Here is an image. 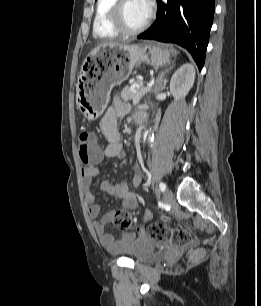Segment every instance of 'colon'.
Segmentation results:
<instances>
[{
    "instance_id": "obj_1",
    "label": "colon",
    "mask_w": 261,
    "mask_h": 306,
    "mask_svg": "<svg viewBox=\"0 0 261 306\" xmlns=\"http://www.w3.org/2000/svg\"><path fill=\"white\" fill-rule=\"evenodd\" d=\"M79 157L83 165L100 160L102 148L94 139L90 131H82L78 136ZM111 222L119 230H130L135 224L131 214L126 210L112 212ZM143 233L157 242L169 243L173 247L182 248L192 244L193 237L190 231L169 227L160 223L147 225ZM203 256V251L197 249L193 252L192 260H198Z\"/></svg>"
}]
</instances>
